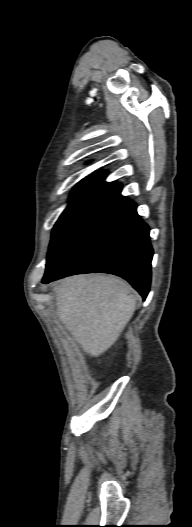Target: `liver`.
Listing matches in <instances>:
<instances>
[{
	"label": "liver",
	"mask_w": 192,
	"mask_h": 527,
	"mask_svg": "<svg viewBox=\"0 0 192 527\" xmlns=\"http://www.w3.org/2000/svg\"><path fill=\"white\" fill-rule=\"evenodd\" d=\"M55 291L60 321L90 356L107 351L135 311L130 286L114 276L68 277Z\"/></svg>",
	"instance_id": "obj_1"
}]
</instances>
